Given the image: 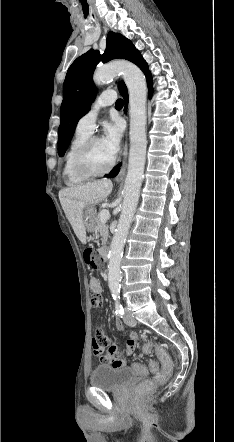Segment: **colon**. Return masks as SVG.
<instances>
[{"instance_id":"obj_1","label":"colon","mask_w":234,"mask_h":442,"mask_svg":"<svg viewBox=\"0 0 234 442\" xmlns=\"http://www.w3.org/2000/svg\"><path fill=\"white\" fill-rule=\"evenodd\" d=\"M84 259L85 262L94 269H103L105 267V262L102 260L99 254L91 247H88L84 250ZM90 287L92 290L91 305L93 308L99 309L103 306V296L101 292L97 290L96 279L91 280ZM142 350L146 355H149L154 350L162 363V370L158 372L159 364L154 360H151L147 366L144 365V362L139 359H135L132 361L131 370L134 373L147 375L148 373L158 372L156 376L151 377L150 380L138 381V391L141 393L147 392L150 389H160L162 386H164L166 379L171 375L173 369L172 360L169 354L167 353V351L162 346L158 344H153L150 341H146L143 344ZM116 364L122 366L120 354L116 356L114 365L116 366Z\"/></svg>"}]
</instances>
